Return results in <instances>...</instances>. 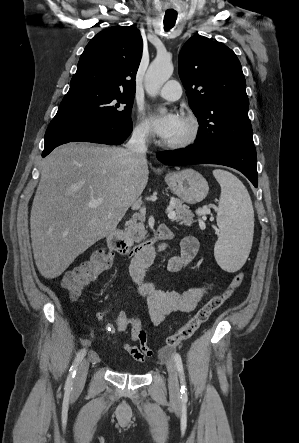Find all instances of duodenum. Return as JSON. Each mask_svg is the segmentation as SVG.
<instances>
[{
    "label": "duodenum",
    "mask_w": 299,
    "mask_h": 443,
    "mask_svg": "<svg viewBox=\"0 0 299 443\" xmlns=\"http://www.w3.org/2000/svg\"><path fill=\"white\" fill-rule=\"evenodd\" d=\"M171 235L165 226L157 228L153 237L145 242L133 244L126 240L118 230H113L107 236V243L111 250L122 257L132 258L133 263L148 267L152 264L158 251L164 249L158 243L170 239Z\"/></svg>",
    "instance_id": "410a0bca"
}]
</instances>
